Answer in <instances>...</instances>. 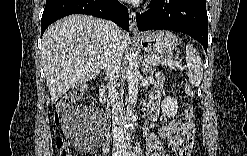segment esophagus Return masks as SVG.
<instances>
[{
	"label": "esophagus",
	"instance_id": "1",
	"mask_svg": "<svg viewBox=\"0 0 247 156\" xmlns=\"http://www.w3.org/2000/svg\"><path fill=\"white\" fill-rule=\"evenodd\" d=\"M128 12H129L130 31L133 33H137L138 29H137V23L135 19V12L131 8L128 9Z\"/></svg>",
	"mask_w": 247,
	"mask_h": 156
}]
</instances>
